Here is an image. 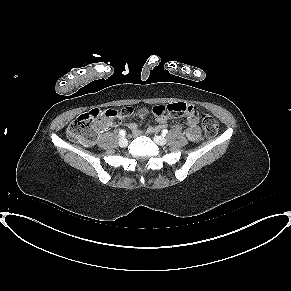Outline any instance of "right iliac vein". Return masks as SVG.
Masks as SVG:
<instances>
[{
    "mask_svg": "<svg viewBox=\"0 0 291 291\" xmlns=\"http://www.w3.org/2000/svg\"><path fill=\"white\" fill-rule=\"evenodd\" d=\"M120 147H126L128 145V140L125 137H121L118 141Z\"/></svg>",
    "mask_w": 291,
    "mask_h": 291,
    "instance_id": "obj_1",
    "label": "right iliac vein"
}]
</instances>
